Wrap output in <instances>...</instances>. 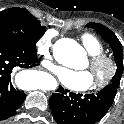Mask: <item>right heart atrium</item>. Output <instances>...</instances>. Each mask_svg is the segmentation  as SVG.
I'll return each mask as SVG.
<instances>
[{"label":"right heart atrium","instance_id":"1","mask_svg":"<svg viewBox=\"0 0 124 124\" xmlns=\"http://www.w3.org/2000/svg\"><path fill=\"white\" fill-rule=\"evenodd\" d=\"M54 33L52 31L45 32L37 42V51L43 58V64L48 69H53L52 46H53Z\"/></svg>","mask_w":124,"mask_h":124}]
</instances>
